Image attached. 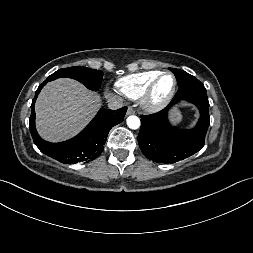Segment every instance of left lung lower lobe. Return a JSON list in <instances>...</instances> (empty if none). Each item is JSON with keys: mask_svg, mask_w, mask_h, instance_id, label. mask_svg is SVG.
Wrapping results in <instances>:
<instances>
[{"mask_svg": "<svg viewBox=\"0 0 253 253\" xmlns=\"http://www.w3.org/2000/svg\"><path fill=\"white\" fill-rule=\"evenodd\" d=\"M185 99L197 106L200 118L190 130H177L167 119L172 105ZM138 144L142 153L158 163H175L196 152L204 145L209 127V102L204 85L195 79L190 84L179 87L172 102L165 109L151 115H141Z\"/></svg>", "mask_w": 253, "mask_h": 253, "instance_id": "obj_1", "label": "left lung lower lobe"}]
</instances>
